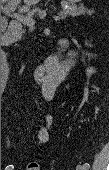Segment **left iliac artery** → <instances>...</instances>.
<instances>
[{
  "label": "left iliac artery",
  "instance_id": "obj_1",
  "mask_svg": "<svg viewBox=\"0 0 109 170\" xmlns=\"http://www.w3.org/2000/svg\"><path fill=\"white\" fill-rule=\"evenodd\" d=\"M90 168V165L88 163L83 164V170H88Z\"/></svg>",
  "mask_w": 109,
  "mask_h": 170
}]
</instances>
